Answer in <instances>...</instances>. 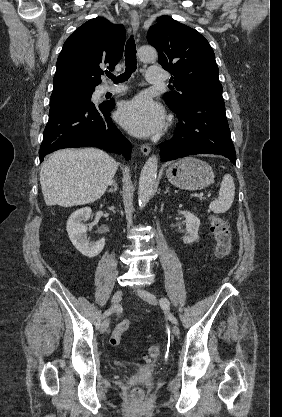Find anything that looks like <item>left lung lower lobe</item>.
Wrapping results in <instances>:
<instances>
[{
	"mask_svg": "<svg viewBox=\"0 0 282 417\" xmlns=\"http://www.w3.org/2000/svg\"><path fill=\"white\" fill-rule=\"evenodd\" d=\"M174 137L161 144V160L171 161L194 154L223 155L236 165L222 94L199 92L179 109Z\"/></svg>",
	"mask_w": 282,
	"mask_h": 417,
	"instance_id": "1",
	"label": "left lung lower lobe"
}]
</instances>
